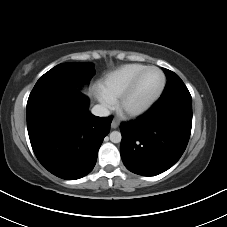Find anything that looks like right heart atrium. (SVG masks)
Returning a JSON list of instances; mask_svg holds the SVG:
<instances>
[{
  "label": "right heart atrium",
  "instance_id": "obj_1",
  "mask_svg": "<svg viewBox=\"0 0 227 227\" xmlns=\"http://www.w3.org/2000/svg\"><path fill=\"white\" fill-rule=\"evenodd\" d=\"M99 101L105 108H111L114 104V100L103 92L99 94Z\"/></svg>",
  "mask_w": 227,
  "mask_h": 227
}]
</instances>
